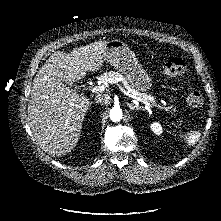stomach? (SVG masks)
<instances>
[{
  "instance_id": "1",
  "label": "stomach",
  "mask_w": 221,
  "mask_h": 221,
  "mask_svg": "<svg viewBox=\"0 0 221 221\" xmlns=\"http://www.w3.org/2000/svg\"><path fill=\"white\" fill-rule=\"evenodd\" d=\"M104 60L125 76L131 88L146 92L152 87V79L138 62L135 53L122 41L106 43Z\"/></svg>"
}]
</instances>
